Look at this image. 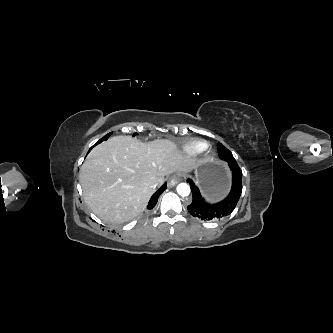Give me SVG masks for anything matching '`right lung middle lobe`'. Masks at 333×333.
Segmentation results:
<instances>
[{"label": "right lung middle lobe", "instance_id": "right-lung-middle-lobe-1", "mask_svg": "<svg viewBox=\"0 0 333 333\" xmlns=\"http://www.w3.org/2000/svg\"><path fill=\"white\" fill-rule=\"evenodd\" d=\"M112 134V132L111 133H109V134H107L106 136H104L102 139H101V141L100 142H102V141H104V140H107L108 139V137L110 136ZM135 134H137V133H135ZM99 142V143H100Z\"/></svg>", "mask_w": 333, "mask_h": 333}]
</instances>
